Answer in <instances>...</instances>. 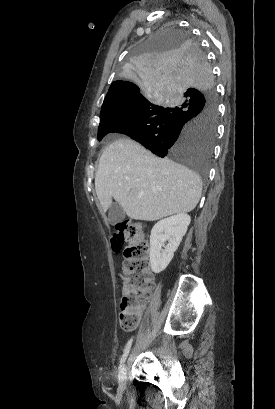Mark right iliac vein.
I'll list each match as a JSON object with an SVG mask.
<instances>
[{
	"instance_id": "63e3f726",
	"label": "right iliac vein",
	"mask_w": 275,
	"mask_h": 409,
	"mask_svg": "<svg viewBox=\"0 0 275 409\" xmlns=\"http://www.w3.org/2000/svg\"><path fill=\"white\" fill-rule=\"evenodd\" d=\"M125 370H126V368L123 367V368L121 369V373H120V375H119V384H120V386H121L122 388L125 387L126 384H127V380H126L127 375L125 374Z\"/></svg>"
}]
</instances>
